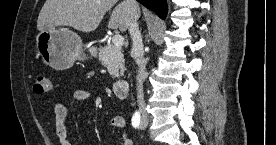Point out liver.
I'll use <instances>...</instances> for the list:
<instances>
[{"mask_svg":"<svg viewBox=\"0 0 276 145\" xmlns=\"http://www.w3.org/2000/svg\"><path fill=\"white\" fill-rule=\"evenodd\" d=\"M116 3L117 0H46L38 16L37 29L44 31L57 26H70L89 33L99 26L105 13ZM133 14L123 2L119 3L110 16L108 28L125 32Z\"/></svg>","mask_w":276,"mask_h":145,"instance_id":"obj_1","label":"liver"}]
</instances>
